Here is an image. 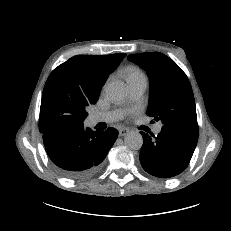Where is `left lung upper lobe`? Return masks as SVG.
Segmentation results:
<instances>
[{
    "instance_id": "left-lung-upper-lobe-1",
    "label": "left lung upper lobe",
    "mask_w": 231,
    "mask_h": 231,
    "mask_svg": "<svg viewBox=\"0 0 231 231\" xmlns=\"http://www.w3.org/2000/svg\"><path fill=\"white\" fill-rule=\"evenodd\" d=\"M150 79L147 115L161 121L163 128L198 132L193 91L186 74L168 56L159 52L128 56Z\"/></svg>"
}]
</instances>
